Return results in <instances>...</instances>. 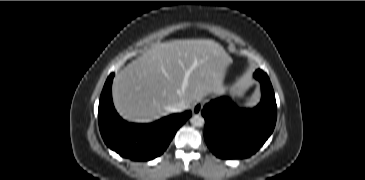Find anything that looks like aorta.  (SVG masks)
<instances>
[{"instance_id":"aorta-1","label":"aorta","mask_w":365,"mask_h":180,"mask_svg":"<svg viewBox=\"0 0 365 180\" xmlns=\"http://www.w3.org/2000/svg\"><path fill=\"white\" fill-rule=\"evenodd\" d=\"M190 122L193 126L202 127L205 123V120L201 115H194L190 119Z\"/></svg>"}]
</instances>
